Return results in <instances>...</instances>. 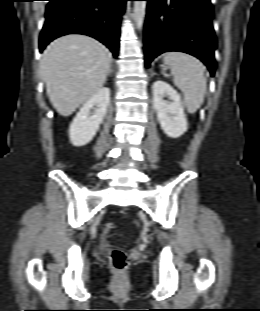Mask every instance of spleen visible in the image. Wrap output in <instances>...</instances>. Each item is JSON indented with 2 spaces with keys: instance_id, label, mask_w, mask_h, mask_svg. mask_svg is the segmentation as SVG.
<instances>
[{
  "instance_id": "1",
  "label": "spleen",
  "mask_w": 260,
  "mask_h": 311,
  "mask_svg": "<svg viewBox=\"0 0 260 311\" xmlns=\"http://www.w3.org/2000/svg\"><path fill=\"white\" fill-rule=\"evenodd\" d=\"M164 62L171 69L174 84L183 92V104L189 113H195L202 105L206 93V78L200 61L182 52H169Z\"/></svg>"
}]
</instances>
